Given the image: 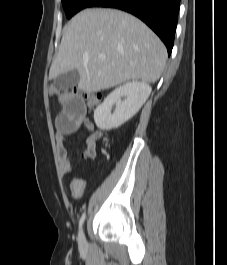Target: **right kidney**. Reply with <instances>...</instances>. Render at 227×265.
Instances as JSON below:
<instances>
[{"instance_id":"right-kidney-1","label":"right kidney","mask_w":227,"mask_h":265,"mask_svg":"<svg viewBox=\"0 0 227 265\" xmlns=\"http://www.w3.org/2000/svg\"><path fill=\"white\" fill-rule=\"evenodd\" d=\"M150 93V85L140 81L128 82L116 88L94 111L95 124L106 131L120 127L139 111ZM122 97L125 99L121 100ZM113 105L116 108L111 113Z\"/></svg>"}]
</instances>
